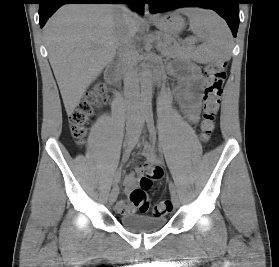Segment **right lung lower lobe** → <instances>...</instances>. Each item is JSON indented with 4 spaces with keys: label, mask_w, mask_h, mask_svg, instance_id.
<instances>
[{
    "label": "right lung lower lobe",
    "mask_w": 279,
    "mask_h": 267,
    "mask_svg": "<svg viewBox=\"0 0 279 267\" xmlns=\"http://www.w3.org/2000/svg\"><path fill=\"white\" fill-rule=\"evenodd\" d=\"M144 0H40L39 22L42 28L53 13L66 3H126L138 13H143Z\"/></svg>",
    "instance_id": "obj_1"
}]
</instances>
